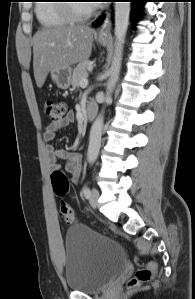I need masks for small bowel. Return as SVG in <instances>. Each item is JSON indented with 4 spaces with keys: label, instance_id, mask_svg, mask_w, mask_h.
<instances>
[{
    "label": "small bowel",
    "instance_id": "c3829d8e",
    "mask_svg": "<svg viewBox=\"0 0 195 299\" xmlns=\"http://www.w3.org/2000/svg\"><path fill=\"white\" fill-rule=\"evenodd\" d=\"M74 120V115L69 113L59 122L50 123L44 132V139L51 141L56 134L62 129L68 127ZM47 152L52 158V165L58 160L66 161V170L72 174V180L78 182L82 169V156L78 152H71L66 149H58L52 145L47 146Z\"/></svg>",
    "mask_w": 195,
    "mask_h": 299
}]
</instances>
